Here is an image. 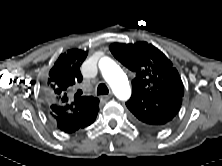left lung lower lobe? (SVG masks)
Segmentation results:
<instances>
[{
	"instance_id": "1",
	"label": "left lung lower lobe",
	"mask_w": 222,
	"mask_h": 166,
	"mask_svg": "<svg viewBox=\"0 0 222 166\" xmlns=\"http://www.w3.org/2000/svg\"><path fill=\"white\" fill-rule=\"evenodd\" d=\"M182 97L178 94H159L154 98L132 95L126 102L131 121L144 129H159L178 113Z\"/></svg>"
}]
</instances>
